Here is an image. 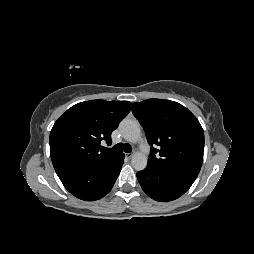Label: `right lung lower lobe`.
<instances>
[{
    "mask_svg": "<svg viewBox=\"0 0 254 254\" xmlns=\"http://www.w3.org/2000/svg\"><path fill=\"white\" fill-rule=\"evenodd\" d=\"M124 162L120 153L106 161L75 163L56 169L65 188L85 201L98 200L112 189Z\"/></svg>",
    "mask_w": 254,
    "mask_h": 254,
    "instance_id": "obj_1",
    "label": "right lung lower lobe"
}]
</instances>
